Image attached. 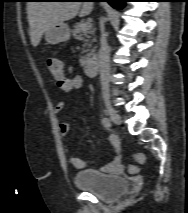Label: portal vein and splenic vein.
Segmentation results:
<instances>
[{"mask_svg": "<svg viewBox=\"0 0 188 213\" xmlns=\"http://www.w3.org/2000/svg\"><path fill=\"white\" fill-rule=\"evenodd\" d=\"M91 27V23L90 22H85L83 25V30H88Z\"/></svg>", "mask_w": 188, "mask_h": 213, "instance_id": "obj_1", "label": "portal vein and splenic vein"}]
</instances>
